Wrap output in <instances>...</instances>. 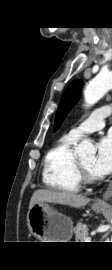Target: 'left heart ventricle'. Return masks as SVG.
<instances>
[{
    "mask_svg": "<svg viewBox=\"0 0 112 270\" xmlns=\"http://www.w3.org/2000/svg\"><path fill=\"white\" fill-rule=\"evenodd\" d=\"M80 162L82 163V165L84 166V168L89 172L91 173L92 175H94L92 173V170H91V166H92V163L94 161V157L93 156H90V157H86V158H82V159H79Z\"/></svg>",
    "mask_w": 112,
    "mask_h": 270,
    "instance_id": "obj_1",
    "label": "left heart ventricle"
}]
</instances>
